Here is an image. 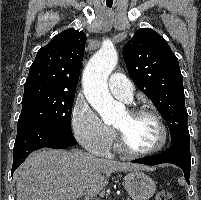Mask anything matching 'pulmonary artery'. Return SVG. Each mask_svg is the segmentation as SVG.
<instances>
[{
  "label": "pulmonary artery",
  "instance_id": "1",
  "mask_svg": "<svg viewBox=\"0 0 201 200\" xmlns=\"http://www.w3.org/2000/svg\"><path fill=\"white\" fill-rule=\"evenodd\" d=\"M110 92L116 98L130 102L133 98L134 87L129 79L119 73H114L108 81Z\"/></svg>",
  "mask_w": 201,
  "mask_h": 200
}]
</instances>
